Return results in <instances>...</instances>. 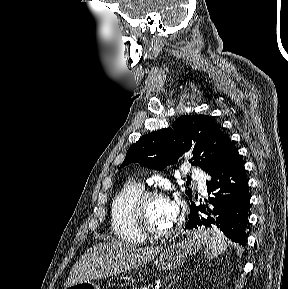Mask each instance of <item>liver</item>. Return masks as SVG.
<instances>
[{"mask_svg": "<svg viewBox=\"0 0 288 289\" xmlns=\"http://www.w3.org/2000/svg\"><path fill=\"white\" fill-rule=\"evenodd\" d=\"M161 247L138 248L111 241L91 247L73 266L64 286L102 279L149 263Z\"/></svg>", "mask_w": 288, "mask_h": 289, "instance_id": "obj_1", "label": "liver"}]
</instances>
